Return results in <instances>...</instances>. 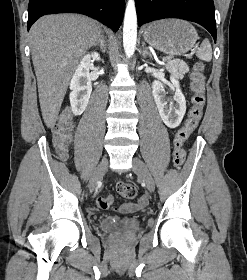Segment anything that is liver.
I'll return each mask as SVG.
<instances>
[{
  "mask_svg": "<svg viewBox=\"0 0 247 280\" xmlns=\"http://www.w3.org/2000/svg\"><path fill=\"white\" fill-rule=\"evenodd\" d=\"M101 25L75 14L46 15L30 29V48L43 120L52 128L79 61L101 37Z\"/></svg>",
  "mask_w": 247,
  "mask_h": 280,
  "instance_id": "1",
  "label": "liver"
}]
</instances>
